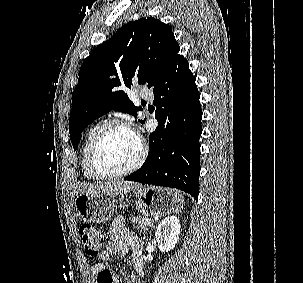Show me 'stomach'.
<instances>
[{"mask_svg":"<svg viewBox=\"0 0 303 283\" xmlns=\"http://www.w3.org/2000/svg\"><path fill=\"white\" fill-rule=\"evenodd\" d=\"M133 192L137 208L145 216H165L179 211L184 205L182 194L173 189L146 186L133 189ZM75 208L83 221L92 223H104L114 213L112 202L106 195L78 194Z\"/></svg>","mask_w":303,"mask_h":283,"instance_id":"1","label":"stomach"}]
</instances>
